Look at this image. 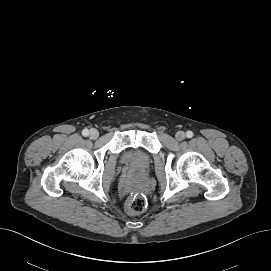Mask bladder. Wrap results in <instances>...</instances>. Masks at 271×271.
Listing matches in <instances>:
<instances>
[{"instance_id":"bladder-1","label":"bladder","mask_w":271,"mask_h":271,"mask_svg":"<svg viewBox=\"0 0 271 271\" xmlns=\"http://www.w3.org/2000/svg\"><path fill=\"white\" fill-rule=\"evenodd\" d=\"M122 162L135 173H144L149 168L152 157L149 152L140 148L127 149L122 153Z\"/></svg>"}]
</instances>
